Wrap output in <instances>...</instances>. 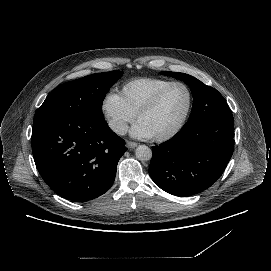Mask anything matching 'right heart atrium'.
I'll use <instances>...</instances> for the list:
<instances>
[{"instance_id":"1","label":"right heart atrium","mask_w":271,"mask_h":271,"mask_svg":"<svg viewBox=\"0 0 271 271\" xmlns=\"http://www.w3.org/2000/svg\"><path fill=\"white\" fill-rule=\"evenodd\" d=\"M101 112L110 129L118 135H124L135 116L126 108L120 94L107 91L101 101Z\"/></svg>"}]
</instances>
